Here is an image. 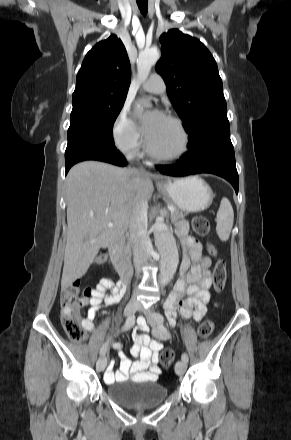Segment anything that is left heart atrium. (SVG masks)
<instances>
[{
  "mask_svg": "<svg viewBox=\"0 0 291 440\" xmlns=\"http://www.w3.org/2000/svg\"><path fill=\"white\" fill-rule=\"evenodd\" d=\"M162 117L164 116L160 111L154 110L142 119V127L147 137L151 134L153 127Z\"/></svg>",
  "mask_w": 291,
  "mask_h": 440,
  "instance_id": "1",
  "label": "left heart atrium"
}]
</instances>
